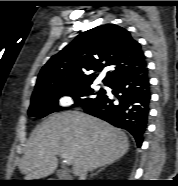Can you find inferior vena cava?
Listing matches in <instances>:
<instances>
[{
	"mask_svg": "<svg viewBox=\"0 0 178 186\" xmlns=\"http://www.w3.org/2000/svg\"><path fill=\"white\" fill-rule=\"evenodd\" d=\"M86 178V171L82 173V175L80 176V180H85Z\"/></svg>",
	"mask_w": 178,
	"mask_h": 186,
	"instance_id": "1",
	"label": "inferior vena cava"
}]
</instances>
